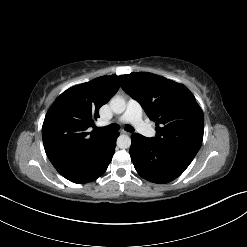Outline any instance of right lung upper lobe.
Here are the masks:
<instances>
[{
  "label": "right lung upper lobe",
  "mask_w": 247,
  "mask_h": 247,
  "mask_svg": "<svg viewBox=\"0 0 247 247\" xmlns=\"http://www.w3.org/2000/svg\"><path fill=\"white\" fill-rule=\"evenodd\" d=\"M116 75L93 79L64 91L48 110L42 126L45 152L58 169L88 157L110 133L92 130L99 109L118 91Z\"/></svg>",
  "instance_id": "cb5924a9"
}]
</instances>
